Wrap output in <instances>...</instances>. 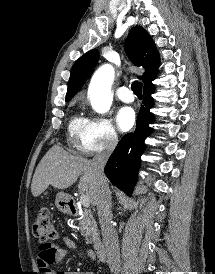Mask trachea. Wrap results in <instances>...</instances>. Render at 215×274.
Instances as JSON below:
<instances>
[{
	"instance_id": "3493384b",
	"label": "trachea",
	"mask_w": 215,
	"mask_h": 274,
	"mask_svg": "<svg viewBox=\"0 0 215 274\" xmlns=\"http://www.w3.org/2000/svg\"><path fill=\"white\" fill-rule=\"evenodd\" d=\"M132 90L138 97H142V83L141 82L134 81L132 83Z\"/></svg>"
}]
</instances>
